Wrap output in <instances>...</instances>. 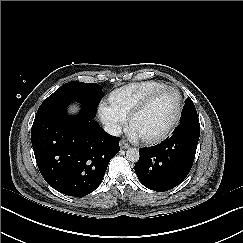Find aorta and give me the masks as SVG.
Returning <instances> with one entry per match:
<instances>
[{"instance_id": "1", "label": "aorta", "mask_w": 243, "mask_h": 243, "mask_svg": "<svg viewBox=\"0 0 243 243\" xmlns=\"http://www.w3.org/2000/svg\"><path fill=\"white\" fill-rule=\"evenodd\" d=\"M139 150L136 148H129L126 151V159L131 162H137L139 160Z\"/></svg>"}]
</instances>
